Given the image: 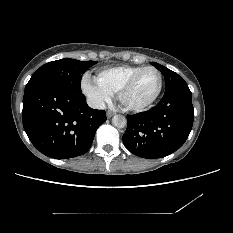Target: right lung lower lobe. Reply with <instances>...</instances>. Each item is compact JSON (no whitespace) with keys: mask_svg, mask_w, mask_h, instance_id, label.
<instances>
[{"mask_svg":"<svg viewBox=\"0 0 233 233\" xmlns=\"http://www.w3.org/2000/svg\"><path fill=\"white\" fill-rule=\"evenodd\" d=\"M105 121V111L90 108L81 91L43 86L24 93V130L34 147L50 158L85 154Z\"/></svg>","mask_w":233,"mask_h":233,"instance_id":"98d812e1","label":"right lung lower lobe"}]
</instances>
